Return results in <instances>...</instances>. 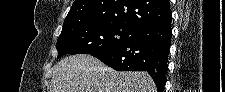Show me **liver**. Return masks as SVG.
<instances>
[{"mask_svg":"<svg viewBox=\"0 0 225 92\" xmlns=\"http://www.w3.org/2000/svg\"><path fill=\"white\" fill-rule=\"evenodd\" d=\"M50 92H156V87L146 72H118L82 54L53 67Z\"/></svg>","mask_w":225,"mask_h":92,"instance_id":"6515ba94","label":"liver"}]
</instances>
